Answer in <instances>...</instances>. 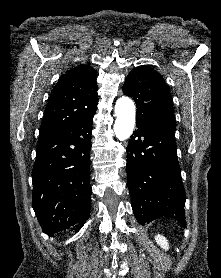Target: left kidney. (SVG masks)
<instances>
[{
    "label": "left kidney",
    "instance_id": "left-kidney-1",
    "mask_svg": "<svg viewBox=\"0 0 221 278\" xmlns=\"http://www.w3.org/2000/svg\"><path fill=\"white\" fill-rule=\"evenodd\" d=\"M155 240L161 248H163L165 250L169 249V243L164 236L158 234L155 236Z\"/></svg>",
    "mask_w": 221,
    "mask_h": 278
}]
</instances>
